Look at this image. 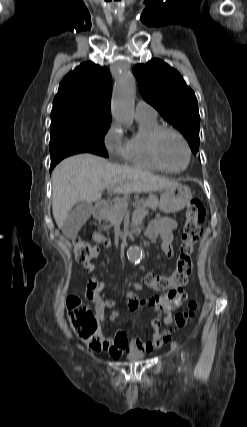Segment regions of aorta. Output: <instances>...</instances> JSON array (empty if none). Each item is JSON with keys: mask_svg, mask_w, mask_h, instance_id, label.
Listing matches in <instances>:
<instances>
[{"mask_svg": "<svg viewBox=\"0 0 247 427\" xmlns=\"http://www.w3.org/2000/svg\"><path fill=\"white\" fill-rule=\"evenodd\" d=\"M136 80L130 71L122 70L116 79L112 94V116L118 122L130 125L134 119V97ZM128 259L137 263L142 252L137 246L130 247L127 251Z\"/></svg>", "mask_w": 247, "mask_h": 427, "instance_id": "762f6f07", "label": "aorta"}]
</instances>
